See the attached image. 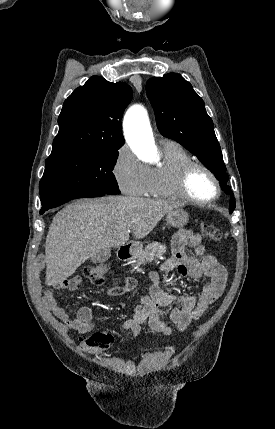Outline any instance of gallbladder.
Wrapping results in <instances>:
<instances>
[{"label": "gallbladder", "instance_id": "1", "mask_svg": "<svg viewBox=\"0 0 275 429\" xmlns=\"http://www.w3.org/2000/svg\"><path fill=\"white\" fill-rule=\"evenodd\" d=\"M111 257V249L106 248L99 251L93 257H91V262L94 264H100L106 262Z\"/></svg>", "mask_w": 275, "mask_h": 429}]
</instances>
